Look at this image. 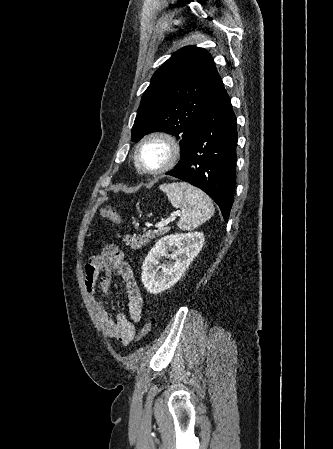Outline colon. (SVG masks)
Wrapping results in <instances>:
<instances>
[{
    "instance_id": "obj_1",
    "label": "colon",
    "mask_w": 333,
    "mask_h": 449,
    "mask_svg": "<svg viewBox=\"0 0 333 449\" xmlns=\"http://www.w3.org/2000/svg\"><path fill=\"white\" fill-rule=\"evenodd\" d=\"M101 216L104 219H107L109 221H111L112 223L118 225L121 223V217L120 215L116 212L115 209H113L112 207H105L101 210ZM156 323V318L154 315H150L147 320L145 321V324L143 325L141 331L138 334V339H144L149 332L152 330V328L154 327Z\"/></svg>"
}]
</instances>
